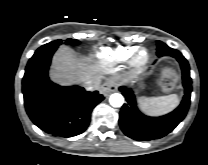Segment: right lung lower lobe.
Wrapping results in <instances>:
<instances>
[{"label": "right lung lower lobe", "instance_id": "1", "mask_svg": "<svg viewBox=\"0 0 208 165\" xmlns=\"http://www.w3.org/2000/svg\"><path fill=\"white\" fill-rule=\"evenodd\" d=\"M57 47L34 54L25 69L22 92L26 112L32 122L53 136L81 134L89 125L93 108L104 97L83 87H62L48 77L52 55Z\"/></svg>", "mask_w": 208, "mask_h": 165}]
</instances>
